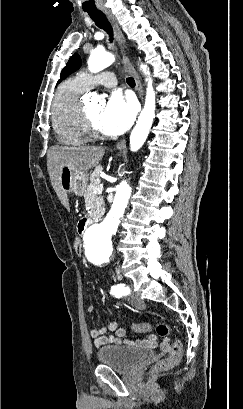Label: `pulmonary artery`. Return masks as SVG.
I'll list each match as a JSON object with an SVG mask.
<instances>
[{
  "mask_svg": "<svg viewBox=\"0 0 243 409\" xmlns=\"http://www.w3.org/2000/svg\"><path fill=\"white\" fill-rule=\"evenodd\" d=\"M79 77L88 87L102 85L107 88H113L117 85L115 74L112 72H102L95 75L81 73Z\"/></svg>",
  "mask_w": 243,
  "mask_h": 409,
  "instance_id": "e3ab8cb5",
  "label": "pulmonary artery"
}]
</instances>
